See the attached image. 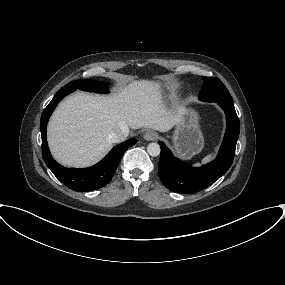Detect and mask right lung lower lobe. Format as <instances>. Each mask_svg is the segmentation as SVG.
<instances>
[{
	"mask_svg": "<svg viewBox=\"0 0 285 285\" xmlns=\"http://www.w3.org/2000/svg\"><path fill=\"white\" fill-rule=\"evenodd\" d=\"M71 92L73 91L70 89L61 88L42 113L40 120L42 156L46 165L53 172V174L70 189L80 192L96 190L105 186L111 180L122 155L129 147L134 145L137 140L135 138H131L115 146L103 160L89 168H65L58 164L52 158L48 148L46 140V127L49 117L59 101Z\"/></svg>",
	"mask_w": 285,
	"mask_h": 285,
	"instance_id": "98d812e1",
	"label": "right lung lower lobe"
}]
</instances>
